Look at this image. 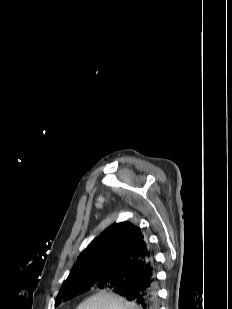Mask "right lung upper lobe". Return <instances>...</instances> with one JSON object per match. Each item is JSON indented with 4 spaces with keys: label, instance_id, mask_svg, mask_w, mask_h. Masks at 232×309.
<instances>
[{
    "label": "right lung upper lobe",
    "instance_id": "obj_1",
    "mask_svg": "<svg viewBox=\"0 0 232 309\" xmlns=\"http://www.w3.org/2000/svg\"><path fill=\"white\" fill-rule=\"evenodd\" d=\"M152 257L141 229L130 222L114 223L102 231L79 255L66 281L89 271L123 274L141 268Z\"/></svg>",
    "mask_w": 232,
    "mask_h": 309
}]
</instances>
